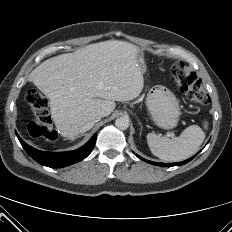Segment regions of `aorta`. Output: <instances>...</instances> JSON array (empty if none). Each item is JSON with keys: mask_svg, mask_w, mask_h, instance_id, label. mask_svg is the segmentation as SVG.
<instances>
[{"mask_svg": "<svg viewBox=\"0 0 232 232\" xmlns=\"http://www.w3.org/2000/svg\"><path fill=\"white\" fill-rule=\"evenodd\" d=\"M115 126L121 130H126L129 127V119L120 117L115 120Z\"/></svg>", "mask_w": 232, "mask_h": 232, "instance_id": "aorta-1", "label": "aorta"}]
</instances>
